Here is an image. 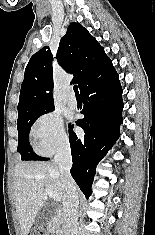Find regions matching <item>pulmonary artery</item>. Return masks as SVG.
Returning <instances> with one entry per match:
<instances>
[{
    "instance_id": "pulmonary-artery-1",
    "label": "pulmonary artery",
    "mask_w": 155,
    "mask_h": 235,
    "mask_svg": "<svg viewBox=\"0 0 155 235\" xmlns=\"http://www.w3.org/2000/svg\"><path fill=\"white\" fill-rule=\"evenodd\" d=\"M67 104L72 109L77 107V100H76V97L74 96L72 91H70L69 94H68Z\"/></svg>"
}]
</instances>
